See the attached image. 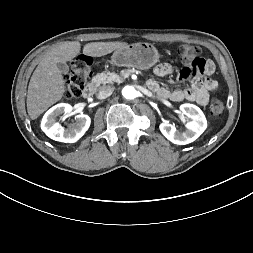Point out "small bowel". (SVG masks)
Listing matches in <instances>:
<instances>
[{
	"instance_id": "1",
	"label": "small bowel",
	"mask_w": 253,
	"mask_h": 253,
	"mask_svg": "<svg viewBox=\"0 0 253 253\" xmlns=\"http://www.w3.org/2000/svg\"><path fill=\"white\" fill-rule=\"evenodd\" d=\"M171 72V66L161 64L154 69V74L159 77H165ZM216 72V62L212 58L204 59L201 56H196L189 63L181 68L178 81L191 79L190 87L186 89H176L170 91L161 86L156 79H150L148 86L155 91L160 97L170 99L173 102H181L188 100L196 102L199 105H206L209 101L210 93L218 88L215 80L208 78Z\"/></svg>"
}]
</instances>
